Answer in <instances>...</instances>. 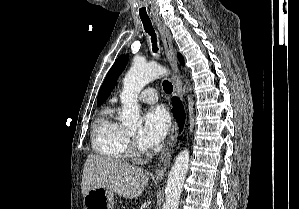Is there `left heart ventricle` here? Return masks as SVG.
Masks as SVG:
<instances>
[{
    "mask_svg": "<svg viewBox=\"0 0 299 209\" xmlns=\"http://www.w3.org/2000/svg\"><path fill=\"white\" fill-rule=\"evenodd\" d=\"M134 138L138 137L139 132L138 131H134L130 133Z\"/></svg>",
    "mask_w": 299,
    "mask_h": 209,
    "instance_id": "b2bd125f",
    "label": "left heart ventricle"
}]
</instances>
